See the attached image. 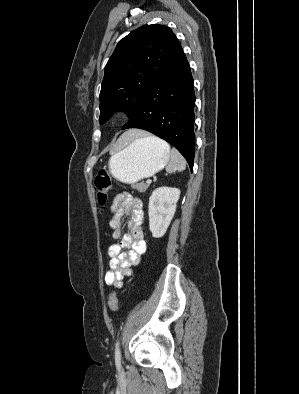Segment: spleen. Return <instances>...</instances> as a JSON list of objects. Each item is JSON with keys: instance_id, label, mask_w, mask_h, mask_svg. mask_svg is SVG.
I'll use <instances>...</instances> for the list:
<instances>
[{"instance_id": "obj_1", "label": "spleen", "mask_w": 299, "mask_h": 394, "mask_svg": "<svg viewBox=\"0 0 299 394\" xmlns=\"http://www.w3.org/2000/svg\"><path fill=\"white\" fill-rule=\"evenodd\" d=\"M147 139L151 140L152 142L161 144V145L166 146L167 148H169L170 161H169V164L166 167V171L168 173L182 172V171L185 170V168H186V161H185L184 157L179 153V151L177 149L172 148L170 150L169 145L165 141H163V140H161V139H159L157 137H152L151 136V137H147Z\"/></svg>"}]
</instances>
